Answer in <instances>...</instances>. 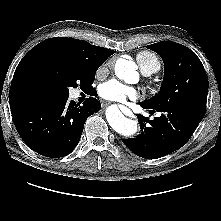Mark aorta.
Instances as JSON below:
<instances>
[{
  "mask_svg": "<svg viewBox=\"0 0 221 221\" xmlns=\"http://www.w3.org/2000/svg\"><path fill=\"white\" fill-rule=\"evenodd\" d=\"M137 66L131 60L119 59L116 63L115 73L118 78L127 83H133L138 79ZM106 118L110 126L123 136H132L138 130L137 122L126 118L117 106H110L106 110Z\"/></svg>",
  "mask_w": 221,
  "mask_h": 221,
  "instance_id": "obj_1",
  "label": "aorta"
}]
</instances>
